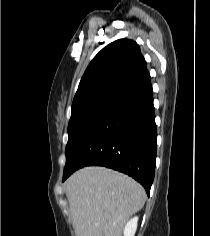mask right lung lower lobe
I'll return each mask as SVG.
<instances>
[{
    "mask_svg": "<svg viewBox=\"0 0 210 236\" xmlns=\"http://www.w3.org/2000/svg\"><path fill=\"white\" fill-rule=\"evenodd\" d=\"M157 130L150 79L129 91L82 140L64 168L63 181L84 166L123 172L147 194L155 174Z\"/></svg>",
    "mask_w": 210,
    "mask_h": 236,
    "instance_id": "1",
    "label": "right lung lower lobe"
}]
</instances>
